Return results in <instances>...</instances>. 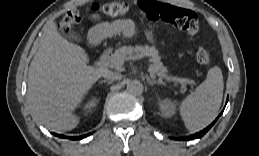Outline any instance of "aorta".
<instances>
[{
    "instance_id": "762f6f07",
    "label": "aorta",
    "mask_w": 259,
    "mask_h": 156,
    "mask_svg": "<svg viewBox=\"0 0 259 156\" xmlns=\"http://www.w3.org/2000/svg\"><path fill=\"white\" fill-rule=\"evenodd\" d=\"M127 91L132 95H140L143 92V85L138 80H132L127 84Z\"/></svg>"
}]
</instances>
